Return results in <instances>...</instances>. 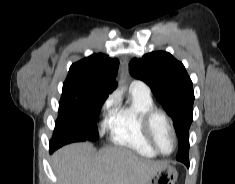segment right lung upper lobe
<instances>
[{
	"label": "right lung upper lobe",
	"instance_id": "cb5924a9",
	"mask_svg": "<svg viewBox=\"0 0 235 184\" xmlns=\"http://www.w3.org/2000/svg\"><path fill=\"white\" fill-rule=\"evenodd\" d=\"M119 61L98 53L71 65L63 84V91L91 89L96 92L91 103L103 104L108 95L118 86L116 81Z\"/></svg>",
	"mask_w": 235,
	"mask_h": 184
}]
</instances>
